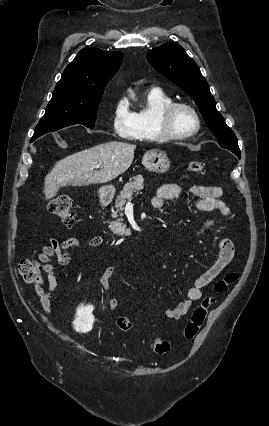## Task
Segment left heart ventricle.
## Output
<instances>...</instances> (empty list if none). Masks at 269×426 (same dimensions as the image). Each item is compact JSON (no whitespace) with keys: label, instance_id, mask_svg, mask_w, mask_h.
Masks as SVG:
<instances>
[{"label":"left heart ventricle","instance_id":"1","mask_svg":"<svg viewBox=\"0 0 269 426\" xmlns=\"http://www.w3.org/2000/svg\"><path fill=\"white\" fill-rule=\"evenodd\" d=\"M172 126L177 132H188L195 128V119L188 110L178 109L172 118Z\"/></svg>","mask_w":269,"mask_h":426}]
</instances>
